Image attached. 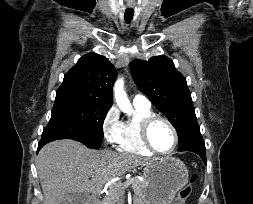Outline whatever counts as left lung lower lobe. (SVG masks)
Here are the masks:
<instances>
[{
	"label": "left lung lower lobe",
	"mask_w": 253,
	"mask_h": 204,
	"mask_svg": "<svg viewBox=\"0 0 253 204\" xmlns=\"http://www.w3.org/2000/svg\"><path fill=\"white\" fill-rule=\"evenodd\" d=\"M187 143L179 146L178 151H191L198 154L206 165V149L198 124L194 125L187 137Z\"/></svg>",
	"instance_id": "1"
}]
</instances>
